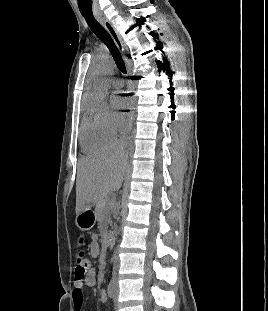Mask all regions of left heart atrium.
Masks as SVG:
<instances>
[{"label": "left heart atrium", "instance_id": "1", "mask_svg": "<svg viewBox=\"0 0 268 311\" xmlns=\"http://www.w3.org/2000/svg\"><path fill=\"white\" fill-rule=\"evenodd\" d=\"M112 100H113V104L116 108L126 109L130 106V101L128 99L116 96V97H113Z\"/></svg>", "mask_w": 268, "mask_h": 311}]
</instances>
